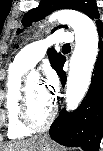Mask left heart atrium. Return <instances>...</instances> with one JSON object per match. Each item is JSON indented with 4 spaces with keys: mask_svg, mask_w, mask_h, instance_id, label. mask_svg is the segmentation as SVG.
Listing matches in <instances>:
<instances>
[{
    "mask_svg": "<svg viewBox=\"0 0 103 151\" xmlns=\"http://www.w3.org/2000/svg\"><path fill=\"white\" fill-rule=\"evenodd\" d=\"M40 86L46 98L52 101L58 87L56 75L52 72L49 73L47 81Z\"/></svg>",
    "mask_w": 103,
    "mask_h": 151,
    "instance_id": "39dd6f15",
    "label": "left heart atrium"
}]
</instances>
